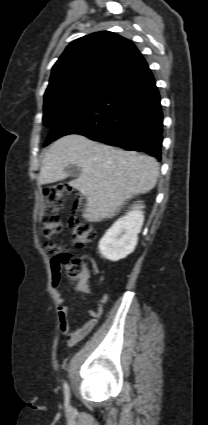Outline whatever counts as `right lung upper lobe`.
Segmentation results:
<instances>
[{
	"mask_svg": "<svg viewBox=\"0 0 208 425\" xmlns=\"http://www.w3.org/2000/svg\"><path fill=\"white\" fill-rule=\"evenodd\" d=\"M128 39L109 31L71 42L52 68L44 102L86 89H106L142 59Z\"/></svg>",
	"mask_w": 208,
	"mask_h": 425,
	"instance_id": "cb5924a9",
	"label": "right lung upper lobe"
}]
</instances>
